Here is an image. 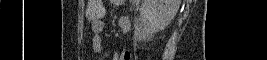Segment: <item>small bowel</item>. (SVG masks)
<instances>
[{
    "mask_svg": "<svg viewBox=\"0 0 267 60\" xmlns=\"http://www.w3.org/2000/svg\"><path fill=\"white\" fill-rule=\"evenodd\" d=\"M116 5H122L124 3L123 0H113L112 1ZM104 13L102 14L101 18L95 22L90 23V30L92 32V51L95 54H99L103 50V43H102V33L104 31V22L102 20ZM130 20L126 16H121L118 20V27L122 34H125L130 29ZM130 53L125 49L121 48L117 50L113 55V60H129Z\"/></svg>",
    "mask_w": 267,
    "mask_h": 60,
    "instance_id": "small-bowel-1",
    "label": "small bowel"
}]
</instances>
